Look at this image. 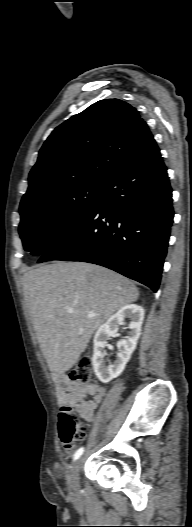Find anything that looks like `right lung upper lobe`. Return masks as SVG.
Wrapping results in <instances>:
<instances>
[{
	"label": "right lung upper lobe",
	"mask_w": 192,
	"mask_h": 527,
	"mask_svg": "<svg viewBox=\"0 0 192 527\" xmlns=\"http://www.w3.org/2000/svg\"><path fill=\"white\" fill-rule=\"evenodd\" d=\"M153 140L134 107L119 99L98 101L45 141L21 204L84 182L106 184Z\"/></svg>",
	"instance_id": "1"
}]
</instances>
